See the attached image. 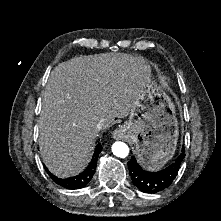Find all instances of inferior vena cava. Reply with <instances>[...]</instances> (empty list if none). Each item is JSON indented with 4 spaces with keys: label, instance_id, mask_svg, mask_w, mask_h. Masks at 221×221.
Segmentation results:
<instances>
[{
    "label": "inferior vena cava",
    "instance_id": "obj_1",
    "mask_svg": "<svg viewBox=\"0 0 221 221\" xmlns=\"http://www.w3.org/2000/svg\"><path fill=\"white\" fill-rule=\"evenodd\" d=\"M105 127V123L101 120V121H99L98 123H97V125H96V128L98 129V130H101V129H103Z\"/></svg>",
    "mask_w": 221,
    "mask_h": 221
}]
</instances>
